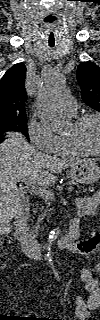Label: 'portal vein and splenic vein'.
<instances>
[{"label":"portal vein and splenic vein","instance_id":"18ae733b","mask_svg":"<svg viewBox=\"0 0 100 320\" xmlns=\"http://www.w3.org/2000/svg\"><path fill=\"white\" fill-rule=\"evenodd\" d=\"M18 182L25 183L27 188H29L33 193H35L36 195H39L40 197H42L45 200H52L54 198V193L52 191L46 190V189L40 187L32 179H19Z\"/></svg>","mask_w":100,"mask_h":320}]
</instances>
